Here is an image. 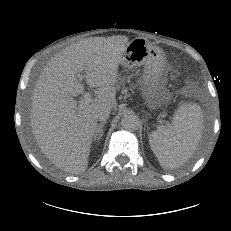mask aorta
<instances>
[{
	"instance_id": "aorta-1",
	"label": "aorta",
	"mask_w": 231,
	"mask_h": 231,
	"mask_svg": "<svg viewBox=\"0 0 231 231\" xmlns=\"http://www.w3.org/2000/svg\"><path fill=\"white\" fill-rule=\"evenodd\" d=\"M121 125L127 131H136L140 126V120L136 115L128 113L122 117Z\"/></svg>"
}]
</instances>
